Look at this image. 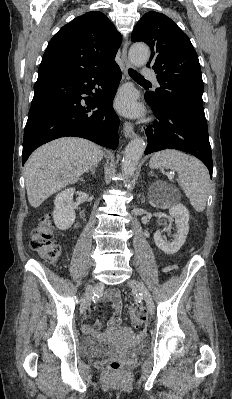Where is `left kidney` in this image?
Masks as SVG:
<instances>
[{"label":"left kidney","mask_w":232,"mask_h":399,"mask_svg":"<svg viewBox=\"0 0 232 399\" xmlns=\"http://www.w3.org/2000/svg\"><path fill=\"white\" fill-rule=\"evenodd\" d=\"M152 192L154 196L156 194H161L162 190L159 188L158 184H153L152 186ZM151 205H154V207H160L158 203H155L154 200H150ZM163 209H166V207H169V213L171 217H175V223L177 227L176 233H174L172 241H167V239H164L162 237V233L160 229L158 231H155L154 233V241L157 245V247H160L162 251H165V253H176L178 249H180L181 245H183L187 233L189 231V217L190 213L185 207V205H182V203H176V205H170V203H163L161 205Z\"/></svg>","instance_id":"left-kidney-1"}]
</instances>
